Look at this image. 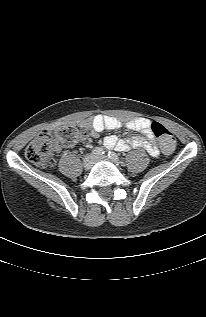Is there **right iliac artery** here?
Listing matches in <instances>:
<instances>
[{
  "label": "right iliac artery",
  "instance_id": "obj_1",
  "mask_svg": "<svg viewBox=\"0 0 206 317\" xmlns=\"http://www.w3.org/2000/svg\"><path fill=\"white\" fill-rule=\"evenodd\" d=\"M105 153L104 149L101 147H96L95 149L92 150L91 155L92 156H101Z\"/></svg>",
  "mask_w": 206,
  "mask_h": 317
}]
</instances>
